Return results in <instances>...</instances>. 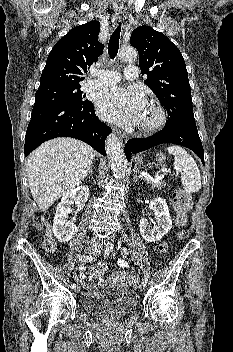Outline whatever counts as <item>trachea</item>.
I'll return each instance as SVG.
<instances>
[{"mask_svg":"<svg viewBox=\"0 0 233 352\" xmlns=\"http://www.w3.org/2000/svg\"><path fill=\"white\" fill-rule=\"evenodd\" d=\"M120 32H121V23H119V26L113 32L108 43V53L111 59H114L118 53Z\"/></svg>","mask_w":233,"mask_h":352,"instance_id":"obj_1","label":"trachea"}]
</instances>
